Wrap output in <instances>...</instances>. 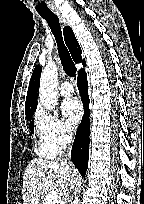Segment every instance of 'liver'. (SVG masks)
Instances as JSON below:
<instances>
[{
	"mask_svg": "<svg viewBox=\"0 0 144 204\" xmlns=\"http://www.w3.org/2000/svg\"><path fill=\"white\" fill-rule=\"evenodd\" d=\"M79 178L73 164L59 160L33 159L25 169L22 186L23 204H38L43 193L56 191L67 195Z\"/></svg>",
	"mask_w": 144,
	"mask_h": 204,
	"instance_id": "liver-1",
	"label": "liver"
}]
</instances>
